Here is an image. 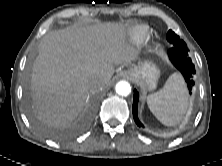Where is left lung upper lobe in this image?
<instances>
[{"label": "left lung upper lobe", "mask_w": 222, "mask_h": 166, "mask_svg": "<svg viewBox=\"0 0 222 166\" xmlns=\"http://www.w3.org/2000/svg\"><path fill=\"white\" fill-rule=\"evenodd\" d=\"M167 40L175 46L187 47L186 43L171 30L167 33Z\"/></svg>", "instance_id": "obj_1"}]
</instances>
